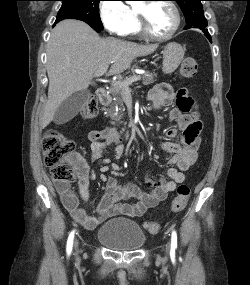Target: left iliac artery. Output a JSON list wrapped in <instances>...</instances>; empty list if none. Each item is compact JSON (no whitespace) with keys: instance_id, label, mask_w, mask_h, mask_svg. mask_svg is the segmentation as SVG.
<instances>
[{"instance_id":"obj_1","label":"left iliac artery","mask_w":250,"mask_h":285,"mask_svg":"<svg viewBox=\"0 0 250 285\" xmlns=\"http://www.w3.org/2000/svg\"><path fill=\"white\" fill-rule=\"evenodd\" d=\"M176 248H177V233L175 230H173L171 235V249L175 250Z\"/></svg>"}]
</instances>
